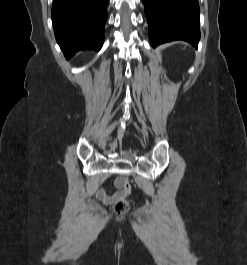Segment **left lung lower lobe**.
I'll list each match as a JSON object with an SVG mask.
<instances>
[{"mask_svg": "<svg viewBox=\"0 0 247 265\" xmlns=\"http://www.w3.org/2000/svg\"><path fill=\"white\" fill-rule=\"evenodd\" d=\"M151 45L184 40L197 47L200 39L197 0H143Z\"/></svg>", "mask_w": 247, "mask_h": 265, "instance_id": "0a47b994", "label": "left lung lower lobe"}]
</instances>
